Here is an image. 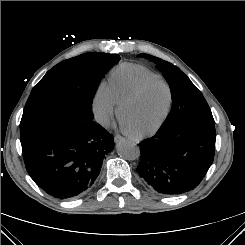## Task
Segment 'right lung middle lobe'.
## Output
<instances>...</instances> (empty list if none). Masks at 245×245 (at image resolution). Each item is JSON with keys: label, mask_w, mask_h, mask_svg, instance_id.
Listing matches in <instances>:
<instances>
[{"label": "right lung middle lobe", "mask_w": 245, "mask_h": 245, "mask_svg": "<svg viewBox=\"0 0 245 245\" xmlns=\"http://www.w3.org/2000/svg\"><path fill=\"white\" fill-rule=\"evenodd\" d=\"M120 61L117 54L84 53L60 62L33 88L21 123V145L65 124L94 119L92 101L103 75Z\"/></svg>", "instance_id": "right-lung-middle-lobe-1"}]
</instances>
